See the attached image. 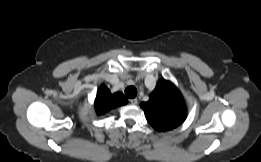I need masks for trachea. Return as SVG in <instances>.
I'll return each instance as SVG.
<instances>
[{
    "label": "trachea",
    "instance_id": "trachea-1",
    "mask_svg": "<svg viewBox=\"0 0 261 162\" xmlns=\"http://www.w3.org/2000/svg\"><path fill=\"white\" fill-rule=\"evenodd\" d=\"M125 94L128 98H135L137 95V89L134 86H129L125 89Z\"/></svg>",
    "mask_w": 261,
    "mask_h": 162
}]
</instances>
